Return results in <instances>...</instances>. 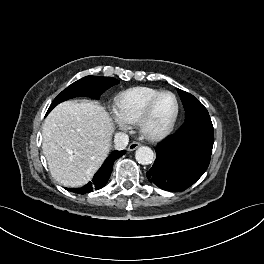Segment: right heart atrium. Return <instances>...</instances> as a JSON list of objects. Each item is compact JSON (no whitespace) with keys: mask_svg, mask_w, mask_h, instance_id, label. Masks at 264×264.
<instances>
[{"mask_svg":"<svg viewBox=\"0 0 264 264\" xmlns=\"http://www.w3.org/2000/svg\"><path fill=\"white\" fill-rule=\"evenodd\" d=\"M114 121L116 125L121 129H127L128 123L123 121L116 113L113 114Z\"/></svg>","mask_w":264,"mask_h":264,"instance_id":"obj_1","label":"right heart atrium"}]
</instances>
